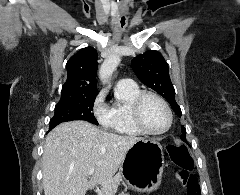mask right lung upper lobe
I'll use <instances>...</instances> for the list:
<instances>
[{
	"mask_svg": "<svg viewBox=\"0 0 240 195\" xmlns=\"http://www.w3.org/2000/svg\"><path fill=\"white\" fill-rule=\"evenodd\" d=\"M97 51L92 47L79 50L67 62V80L61 98L97 95Z\"/></svg>",
	"mask_w": 240,
	"mask_h": 195,
	"instance_id": "cb5924a9",
	"label": "right lung upper lobe"
}]
</instances>
